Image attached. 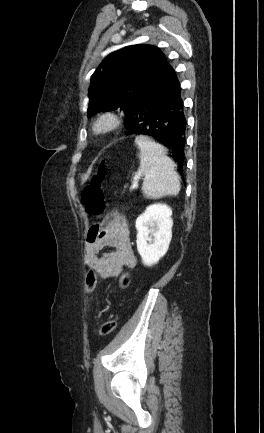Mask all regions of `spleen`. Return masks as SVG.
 Returning a JSON list of instances; mask_svg holds the SVG:
<instances>
[{
  "label": "spleen",
  "mask_w": 264,
  "mask_h": 433,
  "mask_svg": "<svg viewBox=\"0 0 264 433\" xmlns=\"http://www.w3.org/2000/svg\"><path fill=\"white\" fill-rule=\"evenodd\" d=\"M135 143L140 148L139 173L144 176L143 194L148 198L177 196L181 189L179 176L165 148L146 136H137Z\"/></svg>",
  "instance_id": "3e777b00"
}]
</instances>
